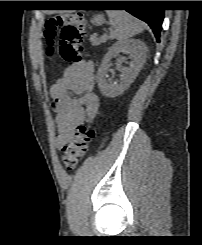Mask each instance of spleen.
I'll return each mask as SVG.
<instances>
[{
    "mask_svg": "<svg viewBox=\"0 0 202 245\" xmlns=\"http://www.w3.org/2000/svg\"><path fill=\"white\" fill-rule=\"evenodd\" d=\"M107 14L114 27L113 35L119 41H126L144 30L143 24L126 11H107Z\"/></svg>",
    "mask_w": 202,
    "mask_h": 245,
    "instance_id": "1",
    "label": "spleen"
}]
</instances>
